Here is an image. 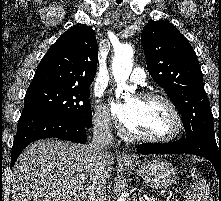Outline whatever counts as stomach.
<instances>
[{"label":"stomach","mask_w":221,"mask_h":201,"mask_svg":"<svg viewBox=\"0 0 221 201\" xmlns=\"http://www.w3.org/2000/svg\"><path fill=\"white\" fill-rule=\"evenodd\" d=\"M125 165L135 170L148 186L155 189L169 188L175 184L177 179L176 171L171 163L160 158L147 163H125Z\"/></svg>","instance_id":"1"}]
</instances>
